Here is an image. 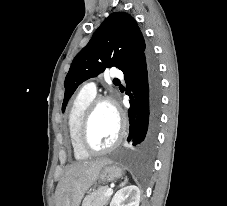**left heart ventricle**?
<instances>
[{
    "label": "left heart ventricle",
    "mask_w": 227,
    "mask_h": 206,
    "mask_svg": "<svg viewBox=\"0 0 227 206\" xmlns=\"http://www.w3.org/2000/svg\"><path fill=\"white\" fill-rule=\"evenodd\" d=\"M119 121L114 108L101 104L95 110L89 128V142L96 149L111 145L117 137Z\"/></svg>",
    "instance_id": "left-heart-ventricle-1"
}]
</instances>
